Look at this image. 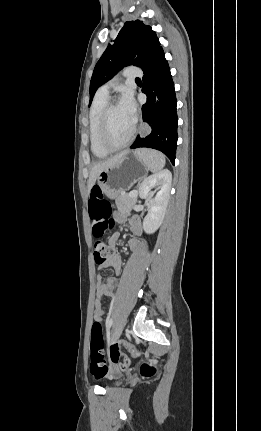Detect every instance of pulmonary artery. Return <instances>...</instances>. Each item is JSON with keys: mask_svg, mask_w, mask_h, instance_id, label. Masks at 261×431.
Instances as JSON below:
<instances>
[{"mask_svg": "<svg viewBox=\"0 0 261 431\" xmlns=\"http://www.w3.org/2000/svg\"><path fill=\"white\" fill-rule=\"evenodd\" d=\"M122 74H123V77L128 78V79L141 77L143 75L142 71L138 68H135V67H130V68L125 69ZM113 84H114V81H110V82L102 85L98 89L97 93L108 96L109 89Z\"/></svg>", "mask_w": 261, "mask_h": 431, "instance_id": "obj_1", "label": "pulmonary artery"}]
</instances>
